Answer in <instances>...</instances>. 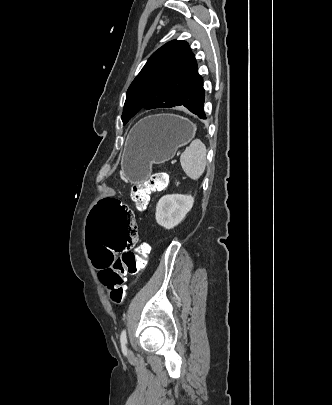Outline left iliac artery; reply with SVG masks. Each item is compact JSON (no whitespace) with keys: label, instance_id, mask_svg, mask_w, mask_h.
Here are the masks:
<instances>
[{"label":"left iliac artery","instance_id":"obj_1","mask_svg":"<svg viewBox=\"0 0 332 405\" xmlns=\"http://www.w3.org/2000/svg\"><path fill=\"white\" fill-rule=\"evenodd\" d=\"M120 342H121V346L123 348L126 347L127 344V336H126V330H123L120 334Z\"/></svg>","mask_w":332,"mask_h":405}]
</instances>
